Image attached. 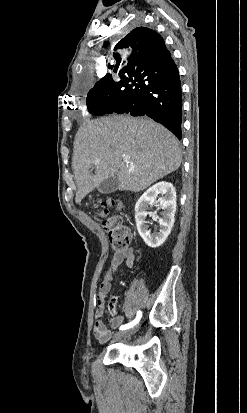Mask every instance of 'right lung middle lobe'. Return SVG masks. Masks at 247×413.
Here are the masks:
<instances>
[{"mask_svg":"<svg viewBox=\"0 0 247 413\" xmlns=\"http://www.w3.org/2000/svg\"><path fill=\"white\" fill-rule=\"evenodd\" d=\"M123 88V82L100 80L89 91L86 102L88 110L93 115H102L105 106L117 96Z\"/></svg>","mask_w":247,"mask_h":413,"instance_id":"1","label":"right lung middle lobe"}]
</instances>
